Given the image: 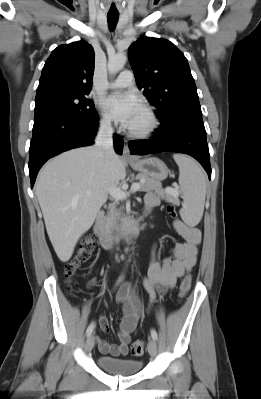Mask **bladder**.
Here are the masks:
<instances>
[{
  "label": "bladder",
  "instance_id": "1",
  "mask_svg": "<svg viewBox=\"0 0 261 399\" xmlns=\"http://www.w3.org/2000/svg\"><path fill=\"white\" fill-rule=\"evenodd\" d=\"M98 366L107 373L116 375H134L142 367L140 360L120 359L107 356H98Z\"/></svg>",
  "mask_w": 261,
  "mask_h": 399
}]
</instances>
